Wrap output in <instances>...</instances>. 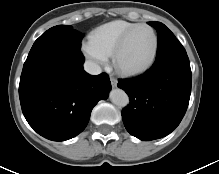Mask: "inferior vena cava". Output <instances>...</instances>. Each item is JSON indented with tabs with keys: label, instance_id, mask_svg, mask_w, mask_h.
I'll list each match as a JSON object with an SVG mask.
<instances>
[{
	"label": "inferior vena cava",
	"instance_id": "1",
	"mask_svg": "<svg viewBox=\"0 0 219 174\" xmlns=\"http://www.w3.org/2000/svg\"><path fill=\"white\" fill-rule=\"evenodd\" d=\"M84 69L91 75H98L102 72V69L98 64L89 60L84 63Z\"/></svg>",
	"mask_w": 219,
	"mask_h": 174
}]
</instances>
